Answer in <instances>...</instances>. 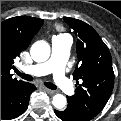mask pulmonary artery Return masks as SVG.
I'll list each match as a JSON object with an SVG mask.
<instances>
[{"label":"pulmonary artery","mask_w":121,"mask_h":121,"mask_svg":"<svg viewBox=\"0 0 121 121\" xmlns=\"http://www.w3.org/2000/svg\"><path fill=\"white\" fill-rule=\"evenodd\" d=\"M71 43V38L68 35L54 37L50 59L43 63L23 67L22 71L33 76L52 74L55 83L64 93L73 94V86L65 74Z\"/></svg>","instance_id":"pulmonary-artery-1"}]
</instances>
